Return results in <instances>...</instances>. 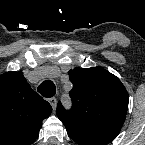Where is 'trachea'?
Segmentation results:
<instances>
[{"mask_svg": "<svg viewBox=\"0 0 145 145\" xmlns=\"http://www.w3.org/2000/svg\"><path fill=\"white\" fill-rule=\"evenodd\" d=\"M37 91L41 93L42 96L50 98L56 94V87L52 81L47 80L38 86Z\"/></svg>", "mask_w": 145, "mask_h": 145, "instance_id": "1", "label": "trachea"}]
</instances>
